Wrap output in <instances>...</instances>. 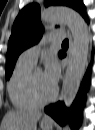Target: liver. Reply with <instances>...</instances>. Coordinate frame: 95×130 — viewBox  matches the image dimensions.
<instances>
[{
    "label": "liver",
    "instance_id": "1",
    "mask_svg": "<svg viewBox=\"0 0 95 130\" xmlns=\"http://www.w3.org/2000/svg\"><path fill=\"white\" fill-rule=\"evenodd\" d=\"M41 117L38 111H9L3 118L2 130H36Z\"/></svg>",
    "mask_w": 95,
    "mask_h": 130
}]
</instances>
